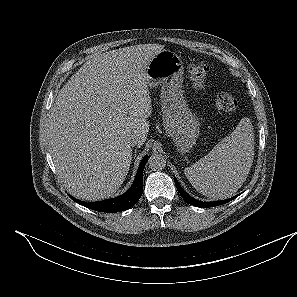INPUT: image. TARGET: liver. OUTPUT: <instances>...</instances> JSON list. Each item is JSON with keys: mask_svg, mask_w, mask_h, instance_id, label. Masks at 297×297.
I'll return each instance as SVG.
<instances>
[{"mask_svg": "<svg viewBox=\"0 0 297 297\" xmlns=\"http://www.w3.org/2000/svg\"><path fill=\"white\" fill-rule=\"evenodd\" d=\"M163 45L139 44L93 56L62 87L48 122L57 174L73 196L110 197L132 160L130 135L143 145L152 105L146 68Z\"/></svg>", "mask_w": 297, "mask_h": 297, "instance_id": "6515ba94", "label": "liver"}]
</instances>
